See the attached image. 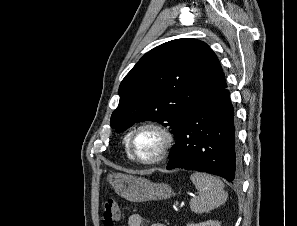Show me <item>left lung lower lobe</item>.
<instances>
[{
  "label": "left lung lower lobe",
  "mask_w": 297,
  "mask_h": 226,
  "mask_svg": "<svg viewBox=\"0 0 297 226\" xmlns=\"http://www.w3.org/2000/svg\"><path fill=\"white\" fill-rule=\"evenodd\" d=\"M227 86L207 92L184 119L167 169L211 173L235 183L241 160L235 145L234 110Z\"/></svg>",
  "instance_id": "0a47b994"
}]
</instances>
